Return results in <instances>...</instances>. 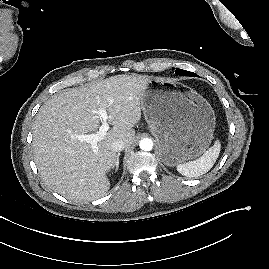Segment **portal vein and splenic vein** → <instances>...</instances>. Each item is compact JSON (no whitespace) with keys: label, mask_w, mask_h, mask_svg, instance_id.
<instances>
[{"label":"portal vein and splenic vein","mask_w":269,"mask_h":269,"mask_svg":"<svg viewBox=\"0 0 269 269\" xmlns=\"http://www.w3.org/2000/svg\"><path fill=\"white\" fill-rule=\"evenodd\" d=\"M98 113L100 115L102 125L99 127V131L94 134H81V135H76L75 138L78 139L79 141H85L89 144H91V147L94 151V153H97V144L100 140H102L105 135L107 134V131L109 129V124H108V114L107 111L104 108H99Z\"/></svg>","instance_id":"portal-vein-and-splenic-vein-1"}]
</instances>
